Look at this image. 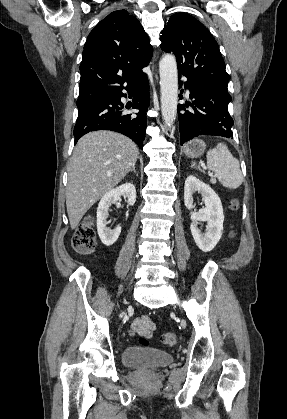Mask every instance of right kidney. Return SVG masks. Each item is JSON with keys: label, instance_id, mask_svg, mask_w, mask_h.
Here are the masks:
<instances>
[{"label": "right kidney", "instance_id": "obj_1", "mask_svg": "<svg viewBox=\"0 0 287 419\" xmlns=\"http://www.w3.org/2000/svg\"><path fill=\"white\" fill-rule=\"evenodd\" d=\"M121 196L127 198L129 205H134L136 202V189L132 183H125L121 186L107 192L100 200L97 208V231L102 243L106 246L113 245L120 233L121 226H117L111 230L107 227V218L109 216V207L117 202Z\"/></svg>", "mask_w": 287, "mask_h": 419}]
</instances>
